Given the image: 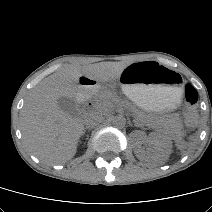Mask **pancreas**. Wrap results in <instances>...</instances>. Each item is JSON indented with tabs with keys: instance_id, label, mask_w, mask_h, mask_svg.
I'll return each mask as SVG.
<instances>
[{
	"instance_id": "pancreas-1",
	"label": "pancreas",
	"mask_w": 212,
	"mask_h": 212,
	"mask_svg": "<svg viewBox=\"0 0 212 212\" xmlns=\"http://www.w3.org/2000/svg\"><path fill=\"white\" fill-rule=\"evenodd\" d=\"M119 103V100L111 93H103L99 96V104L103 107H113ZM137 114V119L140 122L147 123V124H154L151 118H148L145 114L133 109Z\"/></svg>"
}]
</instances>
